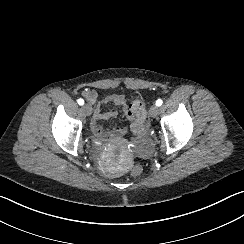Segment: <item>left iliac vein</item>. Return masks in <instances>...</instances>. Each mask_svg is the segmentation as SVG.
Wrapping results in <instances>:
<instances>
[{"label":"left iliac vein","mask_w":244,"mask_h":244,"mask_svg":"<svg viewBox=\"0 0 244 244\" xmlns=\"http://www.w3.org/2000/svg\"><path fill=\"white\" fill-rule=\"evenodd\" d=\"M149 114L151 117H156L159 114V108L156 105H153L149 108Z\"/></svg>","instance_id":"obj_1"}]
</instances>
